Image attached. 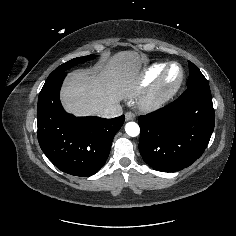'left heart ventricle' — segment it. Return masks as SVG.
I'll return each mask as SVG.
<instances>
[{
	"mask_svg": "<svg viewBox=\"0 0 236 236\" xmlns=\"http://www.w3.org/2000/svg\"><path fill=\"white\" fill-rule=\"evenodd\" d=\"M180 74L178 66H172L166 78V86L169 87L176 82Z\"/></svg>",
	"mask_w": 236,
	"mask_h": 236,
	"instance_id": "b2bd125f",
	"label": "left heart ventricle"
}]
</instances>
